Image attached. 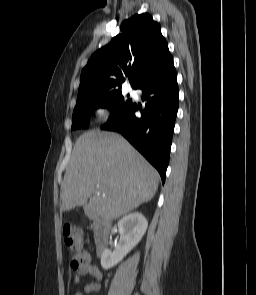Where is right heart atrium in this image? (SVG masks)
Instances as JSON below:
<instances>
[{"label":"right heart atrium","mask_w":256,"mask_h":295,"mask_svg":"<svg viewBox=\"0 0 256 295\" xmlns=\"http://www.w3.org/2000/svg\"><path fill=\"white\" fill-rule=\"evenodd\" d=\"M96 113L101 117H107L110 115V110L108 107L100 106L97 108Z\"/></svg>","instance_id":"d8ad5b80"}]
</instances>
